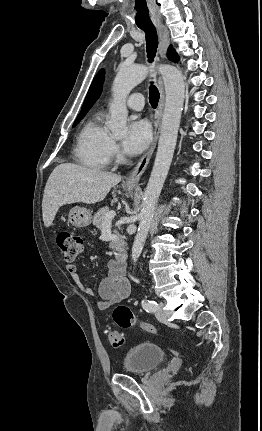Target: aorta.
<instances>
[{"instance_id": "obj_1", "label": "aorta", "mask_w": 262, "mask_h": 431, "mask_svg": "<svg viewBox=\"0 0 262 431\" xmlns=\"http://www.w3.org/2000/svg\"><path fill=\"white\" fill-rule=\"evenodd\" d=\"M158 71L162 75L165 86V108L154 166L144 191L140 222L132 246L131 257L134 263L137 262L144 248L156 205L168 175L185 99V83L181 72L171 65L159 66ZM149 73L150 69L145 65L122 66L117 73L112 86L111 116L107 123L115 137L122 138L127 132V96Z\"/></svg>"}]
</instances>
